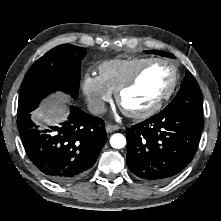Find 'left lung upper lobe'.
<instances>
[{"mask_svg": "<svg viewBox=\"0 0 221 221\" xmlns=\"http://www.w3.org/2000/svg\"><path fill=\"white\" fill-rule=\"evenodd\" d=\"M158 50L147 51L156 54ZM176 110L203 118V101L199 85L193 75L187 70L179 92L168 105Z\"/></svg>", "mask_w": 221, "mask_h": 221, "instance_id": "obj_1", "label": "left lung upper lobe"}]
</instances>
